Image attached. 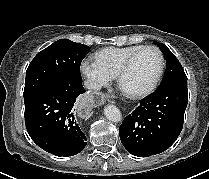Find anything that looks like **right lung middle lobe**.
I'll use <instances>...</instances> for the list:
<instances>
[{
    "label": "right lung middle lobe",
    "instance_id": "1",
    "mask_svg": "<svg viewBox=\"0 0 209 179\" xmlns=\"http://www.w3.org/2000/svg\"><path fill=\"white\" fill-rule=\"evenodd\" d=\"M89 51L87 45L61 39L39 52L26 71L24 103L53 84L82 82L80 64Z\"/></svg>",
    "mask_w": 209,
    "mask_h": 179
}]
</instances>
